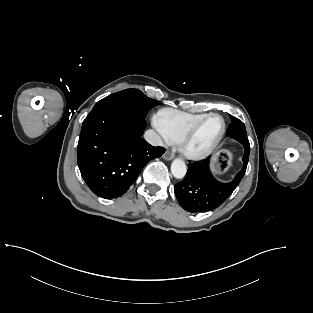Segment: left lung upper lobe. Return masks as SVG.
I'll return each instance as SVG.
<instances>
[{
  "mask_svg": "<svg viewBox=\"0 0 313 313\" xmlns=\"http://www.w3.org/2000/svg\"><path fill=\"white\" fill-rule=\"evenodd\" d=\"M229 116L232 119V121L226 132L227 136L246 135V129H245L244 123L232 115H229Z\"/></svg>",
  "mask_w": 313,
  "mask_h": 313,
  "instance_id": "1",
  "label": "left lung upper lobe"
}]
</instances>
